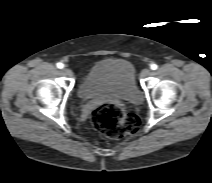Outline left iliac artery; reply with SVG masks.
Here are the masks:
<instances>
[{"label":"left iliac artery","instance_id":"obj_1","mask_svg":"<svg viewBox=\"0 0 212 183\" xmlns=\"http://www.w3.org/2000/svg\"><path fill=\"white\" fill-rule=\"evenodd\" d=\"M152 70H156L158 68V66L156 64H152L150 67Z\"/></svg>","mask_w":212,"mask_h":183}]
</instances>
